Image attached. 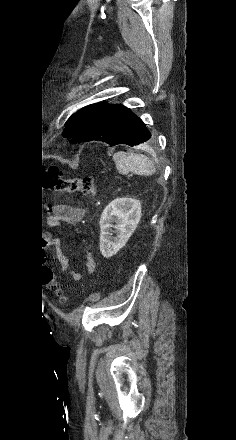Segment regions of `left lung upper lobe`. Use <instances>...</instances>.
Listing matches in <instances>:
<instances>
[{
  "label": "left lung upper lobe",
  "mask_w": 236,
  "mask_h": 440,
  "mask_svg": "<svg viewBox=\"0 0 236 440\" xmlns=\"http://www.w3.org/2000/svg\"><path fill=\"white\" fill-rule=\"evenodd\" d=\"M105 105L106 103L104 102L91 104L83 107L78 112L73 114L67 121L66 127L63 131V137L67 139H72L80 130L82 125Z\"/></svg>",
  "instance_id": "left-lung-upper-lobe-1"
}]
</instances>
